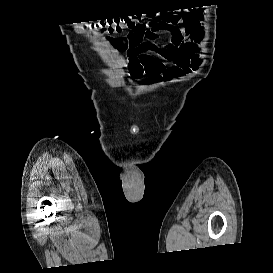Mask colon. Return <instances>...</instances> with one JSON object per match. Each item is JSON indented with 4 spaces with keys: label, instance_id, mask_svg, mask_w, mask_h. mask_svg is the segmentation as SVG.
I'll list each match as a JSON object with an SVG mask.
<instances>
[{
    "label": "colon",
    "instance_id": "obj_1",
    "mask_svg": "<svg viewBox=\"0 0 273 273\" xmlns=\"http://www.w3.org/2000/svg\"><path fill=\"white\" fill-rule=\"evenodd\" d=\"M169 16L162 17L159 24H146L134 17H122L117 19L97 21L93 27L102 33H121L128 31L129 42L133 45L141 43L145 36L149 35L151 28H158L168 20ZM163 21V22H162Z\"/></svg>",
    "mask_w": 273,
    "mask_h": 273
}]
</instances>
